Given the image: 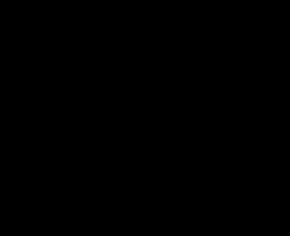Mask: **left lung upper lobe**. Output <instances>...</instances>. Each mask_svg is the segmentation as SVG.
Listing matches in <instances>:
<instances>
[{
    "instance_id": "1",
    "label": "left lung upper lobe",
    "mask_w": 290,
    "mask_h": 236,
    "mask_svg": "<svg viewBox=\"0 0 290 236\" xmlns=\"http://www.w3.org/2000/svg\"><path fill=\"white\" fill-rule=\"evenodd\" d=\"M195 53L203 66V80L199 96L186 115L206 110L226 96L238 93L237 85L225 66L203 52Z\"/></svg>"
}]
</instances>
